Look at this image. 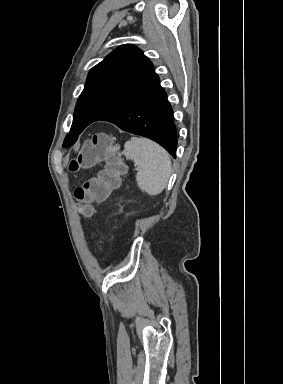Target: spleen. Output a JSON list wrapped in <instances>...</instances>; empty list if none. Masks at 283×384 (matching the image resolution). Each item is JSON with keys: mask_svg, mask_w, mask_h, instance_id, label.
Wrapping results in <instances>:
<instances>
[{"mask_svg": "<svg viewBox=\"0 0 283 384\" xmlns=\"http://www.w3.org/2000/svg\"><path fill=\"white\" fill-rule=\"evenodd\" d=\"M122 154L137 166L136 182L149 196L161 194L171 176V160L168 152L147 138H131L124 144Z\"/></svg>", "mask_w": 283, "mask_h": 384, "instance_id": "3e777b00", "label": "spleen"}]
</instances>
